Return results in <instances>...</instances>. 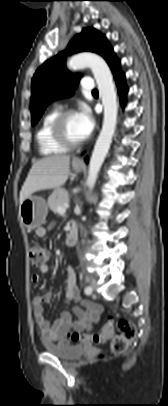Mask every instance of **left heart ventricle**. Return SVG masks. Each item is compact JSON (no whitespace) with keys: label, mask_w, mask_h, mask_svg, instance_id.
I'll return each instance as SVG.
<instances>
[{"label":"left heart ventricle","mask_w":168,"mask_h":406,"mask_svg":"<svg viewBox=\"0 0 168 406\" xmlns=\"http://www.w3.org/2000/svg\"><path fill=\"white\" fill-rule=\"evenodd\" d=\"M65 131L67 136L73 141L84 139L76 114H73L67 118L65 122Z\"/></svg>","instance_id":"left-heart-ventricle-1"}]
</instances>
